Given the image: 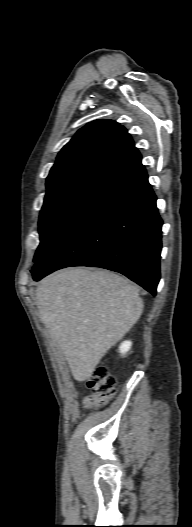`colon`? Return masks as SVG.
I'll use <instances>...</instances> for the list:
<instances>
[{"instance_id": "1", "label": "colon", "mask_w": 192, "mask_h": 527, "mask_svg": "<svg viewBox=\"0 0 192 527\" xmlns=\"http://www.w3.org/2000/svg\"><path fill=\"white\" fill-rule=\"evenodd\" d=\"M116 380L105 366H97L87 379L90 390L84 400L86 409H98L107 404L115 394Z\"/></svg>"}]
</instances>
